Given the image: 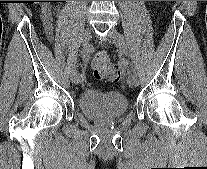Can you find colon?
<instances>
[{"instance_id":"obj_1","label":"colon","mask_w":207,"mask_h":169,"mask_svg":"<svg viewBox=\"0 0 207 169\" xmlns=\"http://www.w3.org/2000/svg\"><path fill=\"white\" fill-rule=\"evenodd\" d=\"M92 69L97 79H105L110 82H117L120 79L118 67L105 52H98L95 55L92 61Z\"/></svg>"}]
</instances>
